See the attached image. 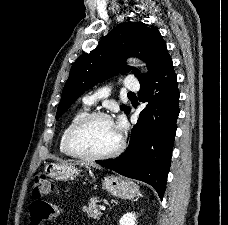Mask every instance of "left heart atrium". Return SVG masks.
I'll list each match as a JSON object with an SVG mask.
<instances>
[{"mask_svg": "<svg viewBox=\"0 0 228 225\" xmlns=\"http://www.w3.org/2000/svg\"><path fill=\"white\" fill-rule=\"evenodd\" d=\"M116 131L120 134L122 128L124 127V120L120 117L117 122L113 123Z\"/></svg>", "mask_w": 228, "mask_h": 225, "instance_id": "1", "label": "left heart atrium"}]
</instances>
